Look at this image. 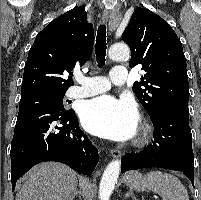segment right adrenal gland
Masks as SVG:
<instances>
[{
	"mask_svg": "<svg viewBox=\"0 0 201 200\" xmlns=\"http://www.w3.org/2000/svg\"><path fill=\"white\" fill-rule=\"evenodd\" d=\"M78 195H79V190H78V185L76 184L74 193L72 194V197L70 200H74L75 196H78Z\"/></svg>",
	"mask_w": 201,
	"mask_h": 200,
	"instance_id": "1",
	"label": "right adrenal gland"
}]
</instances>
